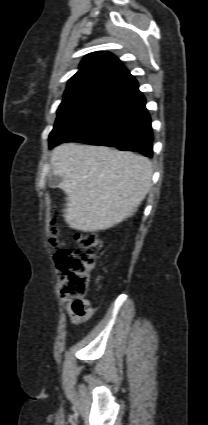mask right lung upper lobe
<instances>
[{
  "label": "right lung upper lobe",
  "instance_id": "right-lung-upper-lobe-1",
  "mask_svg": "<svg viewBox=\"0 0 208 425\" xmlns=\"http://www.w3.org/2000/svg\"><path fill=\"white\" fill-rule=\"evenodd\" d=\"M127 69L121 61L109 52H93L81 62L79 71L68 81L64 97L78 92H101Z\"/></svg>",
  "mask_w": 208,
  "mask_h": 425
}]
</instances>
